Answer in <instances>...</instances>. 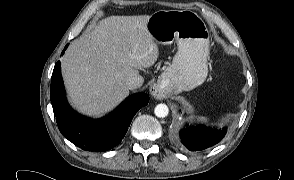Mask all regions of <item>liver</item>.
<instances>
[{"label": "liver", "mask_w": 294, "mask_h": 180, "mask_svg": "<svg viewBox=\"0 0 294 180\" xmlns=\"http://www.w3.org/2000/svg\"><path fill=\"white\" fill-rule=\"evenodd\" d=\"M149 15L110 16L67 49L61 68L70 102L80 112L101 116L129 94L127 81L159 56L146 24Z\"/></svg>", "instance_id": "liver-1"}]
</instances>
